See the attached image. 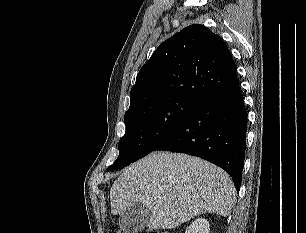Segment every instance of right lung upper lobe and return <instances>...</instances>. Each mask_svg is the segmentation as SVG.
Masks as SVG:
<instances>
[{
    "instance_id": "1",
    "label": "right lung upper lobe",
    "mask_w": 306,
    "mask_h": 233,
    "mask_svg": "<svg viewBox=\"0 0 306 233\" xmlns=\"http://www.w3.org/2000/svg\"><path fill=\"white\" fill-rule=\"evenodd\" d=\"M238 82L235 62L223 39L193 24L163 42L140 69L127 112L172 98L201 104Z\"/></svg>"
}]
</instances>
